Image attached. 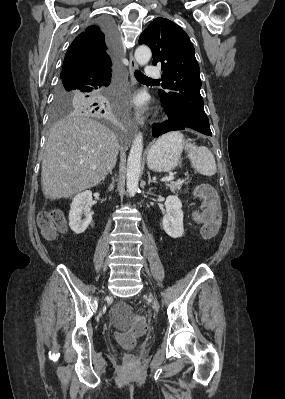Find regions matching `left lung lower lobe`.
<instances>
[{"label":"left lung lower lobe","instance_id":"0a47b994","mask_svg":"<svg viewBox=\"0 0 285 399\" xmlns=\"http://www.w3.org/2000/svg\"><path fill=\"white\" fill-rule=\"evenodd\" d=\"M163 104H164V110H165L166 114L168 115L169 120L164 122V123H162V124H154L152 126V132H153V136L154 137H158V136H160V135H162L164 133H167V132H170V131H176V130H194V131H197L190 124H188V123H186L184 121L175 119L173 117V114L170 111L168 105H166L165 103H163ZM209 136H211V135H209Z\"/></svg>","mask_w":285,"mask_h":399}]
</instances>
